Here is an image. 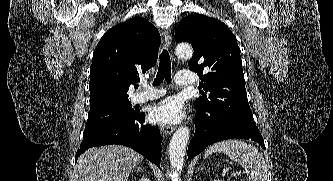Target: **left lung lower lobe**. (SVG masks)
I'll list each match as a JSON object with an SVG mask.
<instances>
[{"mask_svg": "<svg viewBox=\"0 0 333 181\" xmlns=\"http://www.w3.org/2000/svg\"><path fill=\"white\" fill-rule=\"evenodd\" d=\"M195 108L196 131L188 146L189 160L207 146L231 138L251 139L265 149L263 137L255 121L217 108Z\"/></svg>", "mask_w": 333, "mask_h": 181, "instance_id": "0a47b994", "label": "left lung lower lobe"}]
</instances>
